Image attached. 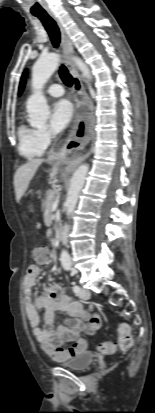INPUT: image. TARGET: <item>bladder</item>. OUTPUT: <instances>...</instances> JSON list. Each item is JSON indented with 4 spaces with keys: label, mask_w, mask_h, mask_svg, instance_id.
Returning <instances> with one entry per match:
<instances>
[{
    "label": "bladder",
    "mask_w": 155,
    "mask_h": 413,
    "mask_svg": "<svg viewBox=\"0 0 155 413\" xmlns=\"http://www.w3.org/2000/svg\"><path fill=\"white\" fill-rule=\"evenodd\" d=\"M93 362V354L90 352H83L71 357L63 363L62 366L73 371H85L93 364Z\"/></svg>",
    "instance_id": "obj_1"
}]
</instances>
